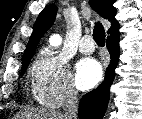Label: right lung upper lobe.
Masks as SVG:
<instances>
[{"label": "right lung upper lobe", "mask_w": 142, "mask_h": 119, "mask_svg": "<svg viewBox=\"0 0 142 119\" xmlns=\"http://www.w3.org/2000/svg\"><path fill=\"white\" fill-rule=\"evenodd\" d=\"M115 0H90L92 8L103 18L111 22V27L108 30V34L119 33V23L115 19L116 8L113 6ZM57 7L55 5H48L39 14L34 24V29L29 42L26 46V50L23 56V62H27L32 58L35 53V45L38 44L43 34L52 26L56 17Z\"/></svg>", "instance_id": "obj_1"}]
</instances>
